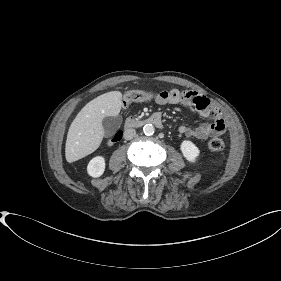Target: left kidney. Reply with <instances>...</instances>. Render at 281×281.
<instances>
[{
  "instance_id": "left-kidney-1",
  "label": "left kidney",
  "mask_w": 281,
  "mask_h": 281,
  "mask_svg": "<svg viewBox=\"0 0 281 281\" xmlns=\"http://www.w3.org/2000/svg\"><path fill=\"white\" fill-rule=\"evenodd\" d=\"M181 152L186 160L195 163L200 155L199 148L189 140H184L180 145Z\"/></svg>"
}]
</instances>
